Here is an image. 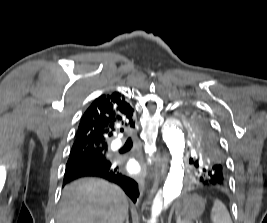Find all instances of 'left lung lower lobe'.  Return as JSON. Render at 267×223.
<instances>
[{
    "label": "left lung lower lobe",
    "instance_id": "obj_1",
    "mask_svg": "<svg viewBox=\"0 0 267 223\" xmlns=\"http://www.w3.org/2000/svg\"><path fill=\"white\" fill-rule=\"evenodd\" d=\"M192 177H184V182H192L191 188L197 194H219L233 183L228 182V171H191Z\"/></svg>",
    "mask_w": 267,
    "mask_h": 223
}]
</instances>
